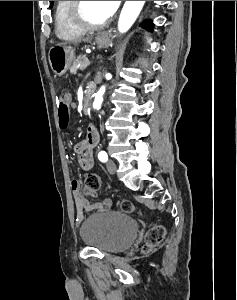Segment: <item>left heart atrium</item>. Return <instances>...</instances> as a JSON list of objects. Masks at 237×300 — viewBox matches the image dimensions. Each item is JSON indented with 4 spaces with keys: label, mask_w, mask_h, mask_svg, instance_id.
<instances>
[{
    "label": "left heart atrium",
    "mask_w": 237,
    "mask_h": 300,
    "mask_svg": "<svg viewBox=\"0 0 237 300\" xmlns=\"http://www.w3.org/2000/svg\"><path fill=\"white\" fill-rule=\"evenodd\" d=\"M105 4L108 7L111 14H113L117 10V8L120 4V1H105Z\"/></svg>",
    "instance_id": "1"
}]
</instances>
